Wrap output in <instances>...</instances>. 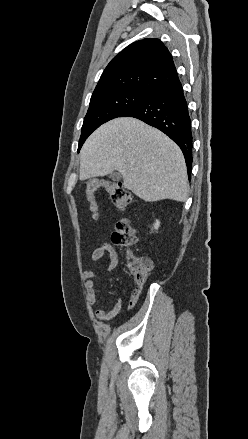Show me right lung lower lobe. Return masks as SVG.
<instances>
[{
	"label": "right lung lower lobe",
	"instance_id": "98d812e1",
	"mask_svg": "<svg viewBox=\"0 0 248 439\" xmlns=\"http://www.w3.org/2000/svg\"><path fill=\"white\" fill-rule=\"evenodd\" d=\"M120 117L140 119L169 136L181 148L190 177L193 160L191 121L179 78L149 94Z\"/></svg>",
	"mask_w": 248,
	"mask_h": 439
}]
</instances>
